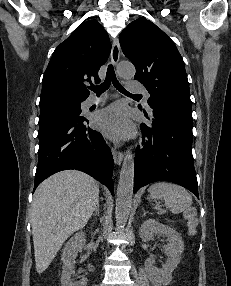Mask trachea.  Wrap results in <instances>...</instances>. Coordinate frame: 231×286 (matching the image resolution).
<instances>
[{
  "instance_id": "3493384b",
  "label": "trachea",
  "mask_w": 231,
  "mask_h": 286,
  "mask_svg": "<svg viewBox=\"0 0 231 286\" xmlns=\"http://www.w3.org/2000/svg\"><path fill=\"white\" fill-rule=\"evenodd\" d=\"M111 83L121 93L132 95L128 91H126L125 88L119 83V81L116 78L114 68L111 64L107 68L106 78L104 82L98 86H91L90 90L94 91L97 95H99L105 92L110 87ZM134 96H140V95H134Z\"/></svg>"
}]
</instances>
